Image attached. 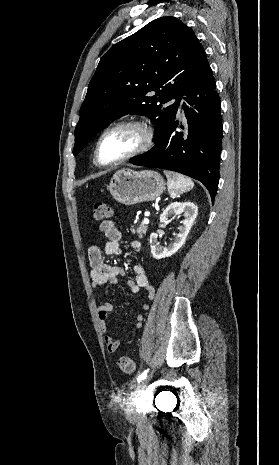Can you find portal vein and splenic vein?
<instances>
[{"instance_id": "portal-vein-and-splenic-vein-1", "label": "portal vein and splenic vein", "mask_w": 279, "mask_h": 465, "mask_svg": "<svg viewBox=\"0 0 279 465\" xmlns=\"http://www.w3.org/2000/svg\"><path fill=\"white\" fill-rule=\"evenodd\" d=\"M143 224H149V219H148V218H144V219H143Z\"/></svg>"}]
</instances>
